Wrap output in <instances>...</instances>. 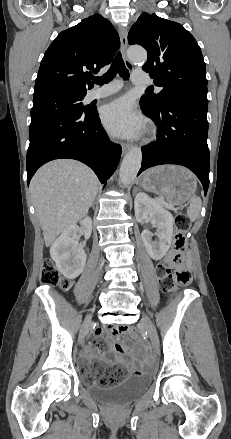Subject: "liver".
I'll use <instances>...</instances> for the list:
<instances>
[{
  "label": "liver",
  "mask_w": 231,
  "mask_h": 439,
  "mask_svg": "<svg viewBox=\"0 0 231 439\" xmlns=\"http://www.w3.org/2000/svg\"><path fill=\"white\" fill-rule=\"evenodd\" d=\"M98 189L95 173L75 160H55L35 173L30 192L46 246L87 215Z\"/></svg>",
  "instance_id": "liver-1"
}]
</instances>
